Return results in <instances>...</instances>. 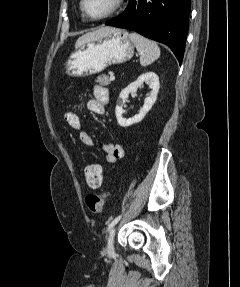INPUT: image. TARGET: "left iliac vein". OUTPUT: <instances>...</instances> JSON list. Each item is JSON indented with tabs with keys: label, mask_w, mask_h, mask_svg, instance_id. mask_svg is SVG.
<instances>
[{
	"label": "left iliac vein",
	"mask_w": 240,
	"mask_h": 287,
	"mask_svg": "<svg viewBox=\"0 0 240 287\" xmlns=\"http://www.w3.org/2000/svg\"><path fill=\"white\" fill-rule=\"evenodd\" d=\"M114 236H115V228H112L109 234V240L107 244V251L113 252L114 250Z\"/></svg>",
	"instance_id": "obj_1"
}]
</instances>
